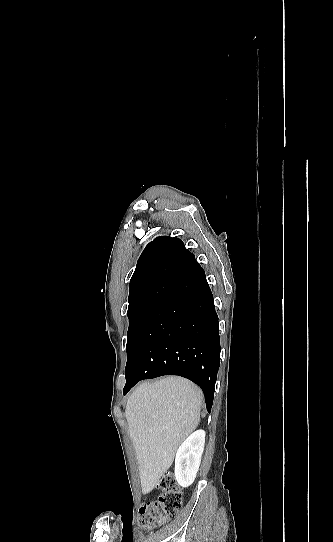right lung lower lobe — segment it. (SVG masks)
I'll use <instances>...</instances> for the list:
<instances>
[{
    "mask_svg": "<svg viewBox=\"0 0 333 542\" xmlns=\"http://www.w3.org/2000/svg\"><path fill=\"white\" fill-rule=\"evenodd\" d=\"M166 261L189 275L149 315L125 368L123 394L140 380L179 375L201 387L210 412L220 366L218 316L205 272L189 251L176 249Z\"/></svg>",
    "mask_w": 333,
    "mask_h": 542,
    "instance_id": "1",
    "label": "right lung lower lobe"
}]
</instances>
